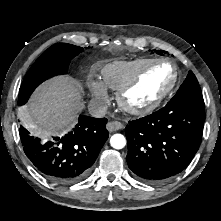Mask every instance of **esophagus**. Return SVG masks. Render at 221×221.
Instances as JSON below:
<instances>
[{"label":"esophagus","instance_id":"obj_1","mask_svg":"<svg viewBox=\"0 0 221 221\" xmlns=\"http://www.w3.org/2000/svg\"><path fill=\"white\" fill-rule=\"evenodd\" d=\"M122 128H123V124L121 122L111 121V122L107 123V130L109 132L117 131Z\"/></svg>","mask_w":221,"mask_h":221}]
</instances>
